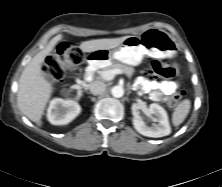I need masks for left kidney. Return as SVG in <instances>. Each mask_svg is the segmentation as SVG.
<instances>
[{"instance_id": "left-kidney-1", "label": "left kidney", "mask_w": 222, "mask_h": 187, "mask_svg": "<svg viewBox=\"0 0 222 187\" xmlns=\"http://www.w3.org/2000/svg\"><path fill=\"white\" fill-rule=\"evenodd\" d=\"M149 115H153L158 124L152 126L146 125L140 116L133 117V125L137 132L147 137H163L171 133L167 112L163 107L152 103L148 109Z\"/></svg>"}]
</instances>
